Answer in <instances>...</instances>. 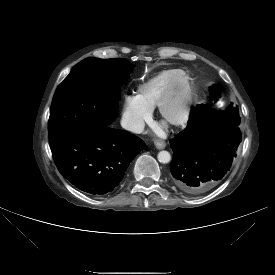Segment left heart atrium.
<instances>
[{"label": "left heart atrium", "instance_id": "left-heart-atrium-1", "mask_svg": "<svg viewBox=\"0 0 275 275\" xmlns=\"http://www.w3.org/2000/svg\"><path fill=\"white\" fill-rule=\"evenodd\" d=\"M155 131L158 134H163V128L161 126L156 127Z\"/></svg>", "mask_w": 275, "mask_h": 275}]
</instances>
